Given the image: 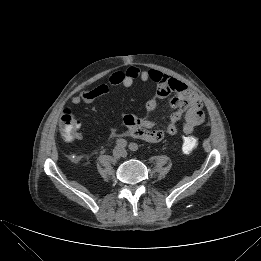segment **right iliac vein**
Returning a JSON list of instances; mask_svg holds the SVG:
<instances>
[{"label":"right iliac vein","instance_id":"63e3f726","mask_svg":"<svg viewBox=\"0 0 261 261\" xmlns=\"http://www.w3.org/2000/svg\"><path fill=\"white\" fill-rule=\"evenodd\" d=\"M122 154H123V150H122L121 147L114 148V150H113V157L115 159H119L122 156Z\"/></svg>","mask_w":261,"mask_h":261}]
</instances>
